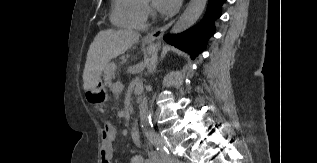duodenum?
<instances>
[{
  "instance_id": "obj_1",
  "label": "duodenum",
  "mask_w": 317,
  "mask_h": 163,
  "mask_svg": "<svg viewBox=\"0 0 317 163\" xmlns=\"http://www.w3.org/2000/svg\"><path fill=\"white\" fill-rule=\"evenodd\" d=\"M131 138L135 144L141 143V132L137 124H133L131 128Z\"/></svg>"
}]
</instances>
